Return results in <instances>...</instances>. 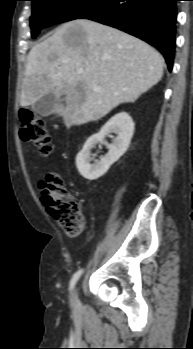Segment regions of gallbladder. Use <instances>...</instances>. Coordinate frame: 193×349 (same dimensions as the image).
<instances>
[{
    "label": "gallbladder",
    "instance_id": "bac80fb5",
    "mask_svg": "<svg viewBox=\"0 0 193 349\" xmlns=\"http://www.w3.org/2000/svg\"><path fill=\"white\" fill-rule=\"evenodd\" d=\"M63 98H55L53 94H48L39 99L32 105V110L37 114L46 117L52 113L53 107L56 103H62Z\"/></svg>",
    "mask_w": 193,
    "mask_h": 349
}]
</instances>
